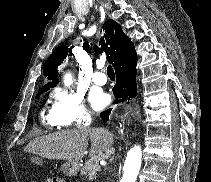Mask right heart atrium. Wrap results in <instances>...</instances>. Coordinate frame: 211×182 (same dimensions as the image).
Here are the masks:
<instances>
[{
	"label": "right heart atrium",
	"instance_id": "1",
	"mask_svg": "<svg viewBox=\"0 0 211 182\" xmlns=\"http://www.w3.org/2000/svg\"><path fill=\"white\" fill-rule=\"evenodd\" d=\"M51 113L60 126L82 125L91 114L84 103L83 95L69 89H57L52 94Z\"/></svg>",
	"mask_w": 211,
	"mask_h": 182
}]
</instances>
